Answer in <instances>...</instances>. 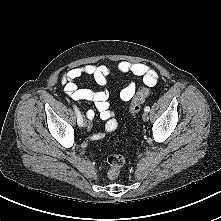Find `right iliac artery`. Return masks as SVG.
<instances>
[{
  "instance_id": "82829eb1",
  "label": "right iliac artery",
  "mask_w": 221,
  "mask_h": 221,
  "mask_svg": "<svg viewBox=\"0 0 221 221\" xmlns=\"http://www.w3.org/2000/svg\"><path fill=\"white\" fill-rule=\"evenodd\" d=\"M73 109L75 110V113L77 115V123H78V125L82 126L83 118H82V115H81L79 109L77 108L76 105H73Z\"/></svg>"
}]
</instances>
